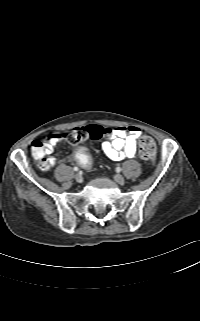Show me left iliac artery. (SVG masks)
Listing matches in <instances>:
<instances>
[{
  "mask_svg": "<svg viewBox=\"0 0 200 321\" xmlns=\"http://www.w3.org/2000/svg\"><path fill=\"white\" fill-rule=\"evenodd\" d=\"M121 170H122L121 167H117V168H116V171H117V172H120Z\"/></svg>",
  "mask_w": 200,
  "mask_h": 321,
  "instance_id": "obj_1",
  "label": "left iliac artery"
}]
</instances>
